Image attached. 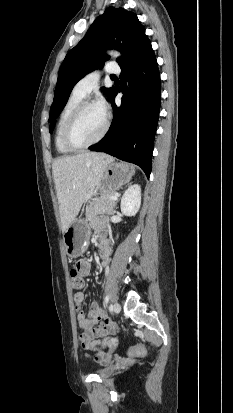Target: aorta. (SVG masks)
I'll return each instance as SVG.
<instances>
[{"label": "aorta", "mask_w": 233, "mask_h": 413, "mask_svg": "<svg viewBox=\"0 0 233 413\" xmlns=\"http://www.w3.org/2000/svg\"><path fill=\"white\" fill-rule=\"evenodd\" d=\"M108 54L113 56V57H119L120 56V53L116 52V51H108Z\"/></svg>", "instance_id": "aorta-1"}]
</instances>
